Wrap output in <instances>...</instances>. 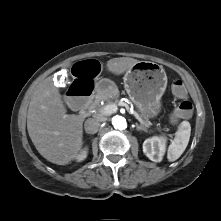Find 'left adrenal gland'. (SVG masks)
Here are the masks:
<instances>
[{"mask_svg": "<svg viewBox=\"0 0 221 221\" xmlns=\"http://www.w3.org/2000/svg\"><path fill=\"white\" fill-rule=\"evenodd\" d=\"M136 129L139 131V130H143V131H146V128H144L143 126H139L137 125Z\"/></svg>", "mask_w": 221, "mask_h": 221, "instance_id": "1", "label": "left adrenal gland"}]
</instances>
